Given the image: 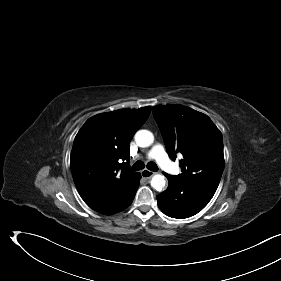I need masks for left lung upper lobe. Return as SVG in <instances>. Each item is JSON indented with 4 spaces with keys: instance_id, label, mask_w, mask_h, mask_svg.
I'll return each instance as SVG.
<instances>
[{
    "instance_id": "1",
    "label": "left lung upper lobe",
    "mask_w": 281,
    "mask_h": 281,
    "mask_svg": "<svg viewBox=\"0 0 281 281\" xmlns=\"http://www.w3.org/2000/svg\"><path fill=\"white\" fill-rule=\"evenodd\" d=\"M167 152L172 160L181 153V181L198 183L216 191L224 169L223 139L211 119L181 105H159L152 108Z\"/></svg>"
}]
</instances>
